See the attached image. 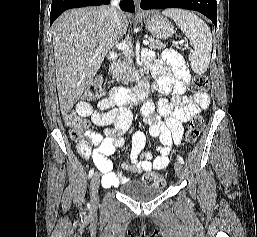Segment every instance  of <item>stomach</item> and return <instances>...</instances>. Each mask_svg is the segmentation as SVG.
Wrapping results in <instances>:
<instances>
[{
	"label": "stomach",
	"instance_id": "stomach-1",
	"mask_svg": "<svg viewBox=\"0 0 257 237\" xmlns=\"http://www.w3.org/2000/svg\"><path fill=\"white\" fill-rule=\"evenodd\" d=\"M141 19L144 21L147 30L157 39H167L174 33L172 23L159 14L145 12Z\"/></svg>",
	"mask_w": 257,
	"mask_h": 237
}]
</instances>
